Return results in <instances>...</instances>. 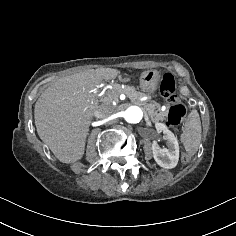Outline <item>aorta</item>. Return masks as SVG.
Wrapping results in <instances>:
<instances>
[{
    "mask_svg": "<svg viewBox=\"0 0 236 236\" xmlns=\"http://www.w3.org/2000/svg\"><path fill=\"white\" fill-rule=\"evenodd\" d=\"M144 117L143 110L139 106H130L123 111V118L131 124L139 123Z\"/></svg>",
    "mask_w": 236,
    "mask_h": 236,
    "instance_id": "762f6f07",
    "label": "aorta"
}]
</instances>
